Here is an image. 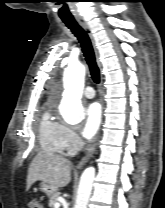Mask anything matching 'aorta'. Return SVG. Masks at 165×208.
Masks as SVG:
<instances>
[{
    "label": "aorta",
    "instance_id": "762f6f07",
    "mask_svg": "<svg viewBox=\"0 0 165 208\" xmlns=\"http://www.w3.org/2000/svg\"><path fill=\"white\" fill-rule=\"evenodd\" d=\"M85 68L83 65L70 64L65 71L66 83L60 112L68 123H78L83 118L81 97L84 88ZM95 177V168L88 167L81 175L74 208H87Z\"/></svg>",
    "mask_w": 165,
    "mask_h": 208
}]
</instances>
